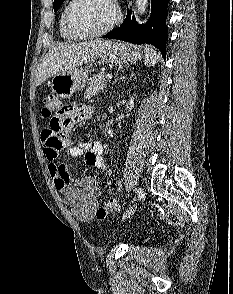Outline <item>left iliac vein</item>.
<instances>
[{
	"label": "left iliac vein",
	"mask_w": 233,
	"mask_h": 294,
	"mask_svg": "<svg viewBox=\"0 0 233 294\" xmlns=\"http://www.w3.org/2000/svg\"><path fill=\"white\" fill-rule=\"evenodd\" d=\"M144 194V193H143ZM135 209H136V205L135 204H132L131 207L128 208V212H126L123 217H122V220H126L128 219L132 213L135 212Z\"/></svg>",
	"instance_id": "obj_1"
}]
</instances>
